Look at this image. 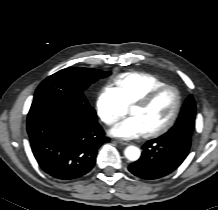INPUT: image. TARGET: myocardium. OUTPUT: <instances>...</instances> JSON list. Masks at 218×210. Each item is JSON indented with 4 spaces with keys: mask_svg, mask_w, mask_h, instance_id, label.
Instances as JSON below:
<instances>
[{
    "mask_svg": "<svg viewBox=\"0 0 218 210\" xmlns=\"http://www.w3.org/2000/svg\"><path fill=\"white\" fill-rule=\"evenodd\" d=\"M166 90H172L175 94L176 103H175L174 110H173L172 115L169 118V120L163 126L146 133V136H148V137L160 136V135L166 133L168 130H170L173 127V125L176 123V121L179 117L180 111H181V107H182L181 92L174 85L164 84L162 86H159V87L151 90L150 92L145 94L142 98H140L139 100H137L133 104V107L134 106L147 107V106L151 105L155 101V99Z\"/></svg>",
    "mask_w": 218,
    "mask_h": 210,
    "instance_id": "myocardium-1",
    "label": "myocardium"
}]
</instances>
